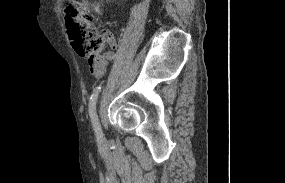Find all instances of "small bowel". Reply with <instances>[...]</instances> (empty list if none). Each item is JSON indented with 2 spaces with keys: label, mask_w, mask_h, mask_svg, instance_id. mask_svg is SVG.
I'll return each mask as SVG.
<instances>
[{
  "label": "small bowel",
  "mask_w": 285,
  "mask_h": 183,
  "mask_svg": "<svg viewBox=\"0 0 285 183\" xmlns=\"http://www.w3.org/2000/svg\"><path fill=\"white\" fill-rule=\"evenodd\" d=\"M82 11L86 14H102V3L100 0H81ZM115 58L113 52H107L97 60L89 62L90 73L97 79L103 77L107 66Z\"/></svg>",
  "instance_id": "obj_1"
}]
</instances>
